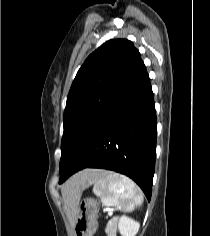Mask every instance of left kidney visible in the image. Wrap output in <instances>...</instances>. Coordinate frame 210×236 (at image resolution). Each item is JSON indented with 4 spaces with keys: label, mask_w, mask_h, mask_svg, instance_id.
I'll return each instance as SVG.
<instances>
[{
    "label": "left kidney",
    "mask_w": 210,
    "mask_h": 236,
    "mask_svg": "<svg viewBox=\"0 0 210 236\" xmlns=\"http://www.w3.org/2000/svg\"><path fill=\"white\" fill-rule=\"evenodd\" d=\"M140 224L133 219L123 215L119 218L118 229L121 236H136Z\"/></svg>",
    "instance_id": "obj_1"
}]
</instances>
